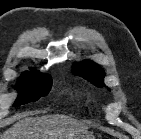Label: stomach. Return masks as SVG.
Returning a JSON list of instances; mask_svg holds the SVG:
<instances>
[{"label": "stomach", "instance_id": "1", "mask_svg": "<svg viewBox=\"0 0 141 139\" xmlns=\"http://www.w3.org/2000/svg\"><path fill=\"white\" fill-rule=\"evenodd\" d=\"M78 139H94V137L91 134L86 133L81 135Z\"/></svg>", "mask_w": 141, "mask_h": 139}]
</instances>
